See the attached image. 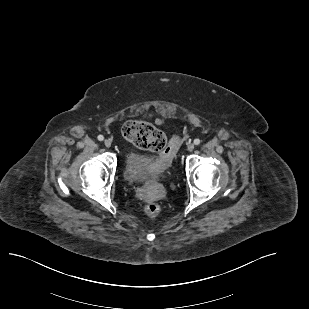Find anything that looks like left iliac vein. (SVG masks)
<instances>
[{
    "mask_svg": "<svg viewBox=\"0 0 309 309\" xmlns=\"http://www.w3.org/2000/svg\"><path fill=\"white\" fill-rule=\"evenodd\" d=\"M194 148H195V146H194L193 143H189V144L187 145V150H188V151H193Z\"/></svg>",
    "mask_w": 309,
    "mask_h": 309,
    "instance_id": "left-iliac-vein-1",
    "label": "left iliac vein"
}]
</instances>
